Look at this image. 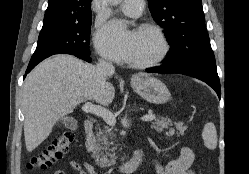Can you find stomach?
Listing matches in <instances>:
<instances>
[{"label":"stomach","mask_w":249,"mask_h":174,"mask_svg":"<svg viewBox=\"0 0 249 174\" xmlns=\"http://www.w3.org/2000/svg\"><path fill=\"white\" fill-rule=\"evenodd\" d=\"M131 86L136 93L150 103L163 104L170 99L166 85L154 77L138 75L132 79Z\"/></svg>","instance_id":"stomach-1"}]
</instances>
